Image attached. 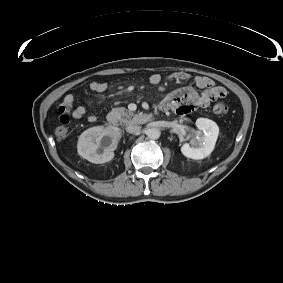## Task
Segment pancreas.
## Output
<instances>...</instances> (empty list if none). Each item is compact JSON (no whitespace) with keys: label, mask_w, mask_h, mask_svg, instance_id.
I'll return each mask as SVG.
<instances>
[{"label":"pancreas","mask_w":283,"mask_h":283,"mask_svg":"<svg viewBox=\"0 0 283 283\" xmlns=\"http://www.w3.org/2000/svg\"><path fill=\"white\" fill-rule=\"evenodd\" d=\"M111 115L114 116L120 125L137 124L141 122V116L134 114L125 107H117L112 109Z\"/></svg>","instance_id":"pancreas-1"}]
</instances>
